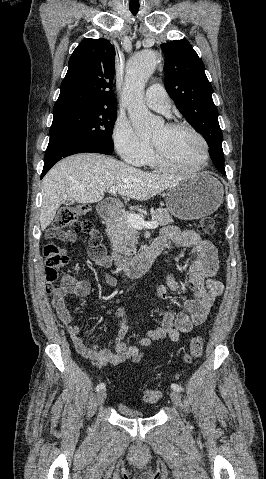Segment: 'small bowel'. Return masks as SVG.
I'll use <instances>...</instances> for the list:
<instances>
[{"instance_id": "obj_1", "label": "small bowel", "mask_w": 266, "mask_h": 479, "mask_svg": "<svg viewBox=\"0 0 266 479\" xmlns=\"http://www.w3.org/2000/svg\"><path fill=\"white\" fill-rule=\"evenodd\" d=\"M58 238L66 242L76 240V236L68 231L59 232ZM158 240L163 243L164 248L174 245L175 247L191 249L192 258L188 282L192 286L193 292L190 298H186L182 302L184 311H165L161 324L150 330L147 336L140 340L139 346H130L122 341L126 335V327L122 320L123 311L114 307L105 310L107 315H114L120 323L118 335L113 341L114 350L102 348L98 343L88 345L84 342L82 328L74 323V316L69 309L66 298L68 295H75L89 301L91 291L87 281L76 279L71 274H65L60 284L50 291L52 307L65 326L75 349L83 357L102 366L118 365L124 361L138 363L142 360L145 350L153 340L169 338L172 342H177L182 333H188L194 327L200 326L206 321L215 299L224 290L223 283L215 279L219 268L215 246L195 231H180L177 227L171 225L162 228ZM92 245L90 243L89 248ZM92 260L96 268H109L112 264L111 259L106 257L103 251L100 256L92 258ZM104 282L110 288L116 287L118 283L113 274H106ZM168 290L183 291L184 285L169 274L166 277V284L158 288V296L161 299H166Z\"/></svg>"}]
</instances>
